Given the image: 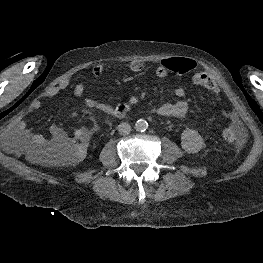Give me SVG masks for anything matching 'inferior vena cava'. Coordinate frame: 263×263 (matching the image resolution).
I'll use <instances>...</instances> for the list:
<instances>
[{"label": "inferior vena cava", "instance_id": "inferior-vena-cava-1", "mask_svg": "<svg viewBox=\"0 0 263 263\" xmlns=\"http://www.w3.org/2000/svg\"><path fill=\"white\" fill-rule=\"evenodd\" d=\"M131 131V126L129 123H126V122H122L118 125V132L121 134V135H127L129 134Z\"/></svg>", "mask_w": 263, "mask_h": 263}]
</instances>
